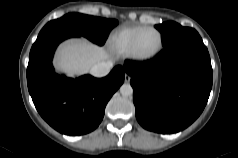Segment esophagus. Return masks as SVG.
Returning <instances> with one entry per match:
<instances>
[{
	"label": "esophagus",
	"instance_id": "34e87169",
	"mask_svg": "<svg viewBox=\"0 0 238 158\" xmlns=\"http://www.w3.org/2000/svg\"><path fill=\"white\" fill-rule=\"evenodd\" d=\"M130 80H131V76L128 75V74H125V82H126V83H129Z\"/></svg>",
	"mask_w": 238,
	"mask_h": 158
}]
</instances>
